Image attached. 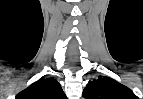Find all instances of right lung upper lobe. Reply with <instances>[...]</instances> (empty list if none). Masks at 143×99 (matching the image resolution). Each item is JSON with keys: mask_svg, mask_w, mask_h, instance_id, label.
Instances as JSON below:
<instances>
[{"mask_svg": "<svg viewBox=\"0 0 143 99\" xmlns=\"http://www.w3.org/2000/svg\"><path fill=\"white\" fill-rule=\"evenodd\" d=\"M15 99H67L54 78L40 79L21 91Z\"/></svg>", "mask_w": 143, "mask_h": 99, "instance_id": "1", "label": "right lung upper lobe"}]
</instances>
